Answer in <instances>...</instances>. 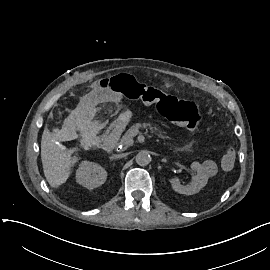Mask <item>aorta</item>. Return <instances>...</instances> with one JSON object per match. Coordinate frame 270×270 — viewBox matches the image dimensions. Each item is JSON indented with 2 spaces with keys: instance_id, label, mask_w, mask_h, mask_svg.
<instances>
[{
  "instance_id": "762f6f07",
  "label": "aorta",
  "mask_w": 270,
  "mask_h": 270,
  "mask_svg": "<svg viewBox=\"0 0 270 270\" xmlns=\"http://www.w3.org/2000/svg\"><path fill=\"white\" fill-rule=\"evenodd\" d=\"M136 163L140 166H147L151 162V157L147 151H141L136 155Z\"/></svg>"
}]
</instances>
